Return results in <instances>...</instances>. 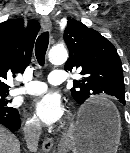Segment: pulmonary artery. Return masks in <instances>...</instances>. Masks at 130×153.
Returning <instances> with one entry per match:
<instances>
[{
	"label": "pulmonary artery",
	"instance_id": "obj_1",
	"mask_svg": "<svg viewBox=\"0 0 130 153\" xmlns=\"http://www.w3.org/2000/svg\"><path fill=\"white\" fill-rule=\"evenodd\" d=\"M65 73L63 71H54L48 75V81L52 85H60L65 81ZM47 84L41 81H30L26 86L14 89L10 92L11 95L15 94H30L36 95L45 92Z\"/></svg>",
	"mask_w": 130,
	"mask_h": 153
}]
</instances>
